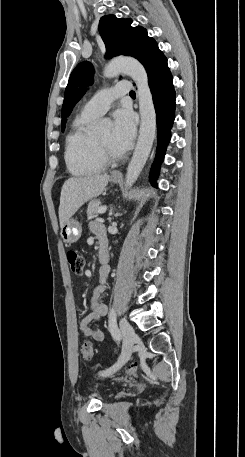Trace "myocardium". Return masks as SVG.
Segmentation results:
<instances>
[{
    "label": "myocardium",
    "mask_w": 245,
    "mask_h": 457,
    "mask_svg": "<svg viewBox=\"0 0 245 457\" xmlns=\"http://www.w3.org/2000/svg\"><path fill=\"white\" fill-rule=\"evenodd\" d=\"M89 155L92 159L99 163H107L122 158L121 154H113L105 152L99 145L95 134H91L88 141Z\"/></svg>",
    "instance_id": "myocardium-1"
}]
</instances>
